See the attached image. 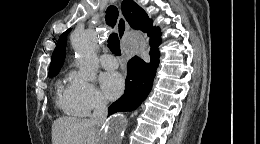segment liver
Listing matches in <instances>:
<instances>
[{"instance_id": "liver-1", "label": "liver", "mask_w": 260, "mask_h": 144, "mask_svg": "<svg viewBox=\"0 0 260 144\" xmlns=\"http://www.w3.org/2000/svg\"><path fill=\"white\" fill-rule=\"evenodd\" d=\"M96 129L88 119L62 117L52 125V144H94Z\"/></svg>"}]
</instances>
